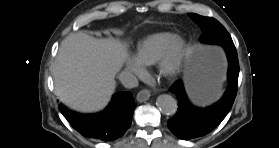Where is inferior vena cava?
Instances as JSON below:
<instances>
[{
    "label": "inferior vena cava",
    "instance_id": "1",
    "mask_svg": "<svg viewBox=\"0 0 279 148\" xmlns=\"http://www.w3.org/2000/svg\"><path fill=\"white\" fill-rule=\"evenodd\" d=\"M119 80L126 88H135L138 86V79L137 77L131 73L130 71H122L119 74Z\"/></svg>",
    "mask_w": 279,
    "mask_h": 148
}]
</instances>
